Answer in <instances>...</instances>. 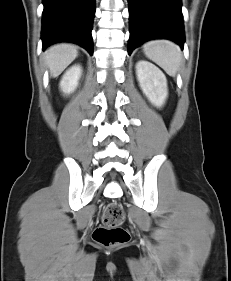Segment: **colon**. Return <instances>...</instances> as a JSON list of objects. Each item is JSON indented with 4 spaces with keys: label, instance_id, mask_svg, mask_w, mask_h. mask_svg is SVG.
<instances>
[{
    "label": "colon",
    "instance_id": "obj_1",
    "mask_svg": "<svg viewBox=\"0 0 231 281\" xmlns=\"http://www.w3.org/2000/svg\"><path fill=\"white\" fill-rule=\"evenodd\" d=\"M124 211L116 202L106 205L102 212L101 224L95 229L93 239L104 247H117L128 242L129 233L121 225Z\"/></svg>",
    "mask_w": 231,
    "mask_h": 281
}]
</instances>
